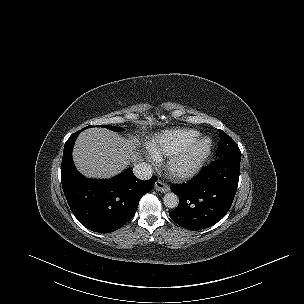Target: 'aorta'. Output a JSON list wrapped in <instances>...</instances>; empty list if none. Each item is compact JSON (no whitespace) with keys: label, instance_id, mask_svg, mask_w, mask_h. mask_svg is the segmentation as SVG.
Listing matches in <instances>:
<instances>
[{"label":"aorta","instance_id":"aorta-1","mask_svg":"<svg viewBox=\"0 0 304 304\" xmlns=\"http://www.w3.org/2000/svg\"><path fill=\"white\" fill-rule=\"evenodd\" d=\"M163 203L167 208L175 209L179 204V198L175 193L169 192L164 195Z\"/></svg>","mask_w":304,"mask_h":304}]
</instances>
